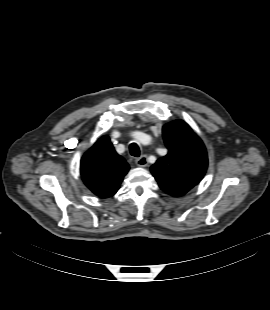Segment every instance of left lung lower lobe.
<instances>
[{
  "mask_svg": "<svg viewBox=\"0 0 270 310\" xmlns=\"http://www.w3.org/2000/svg\"><path fill=\"white\" fill-rule=\"evenodd\" d=\"M166 193H168V194H170V195H172V196L178 197V196L184 195L186 192L171 191V192H166Z\"/></svg>",
  "mask_w": 270,
  "mask_h": 310,
  "instance_id": "1",
  "label": "left lung lower lobe"
}]
</instances>
